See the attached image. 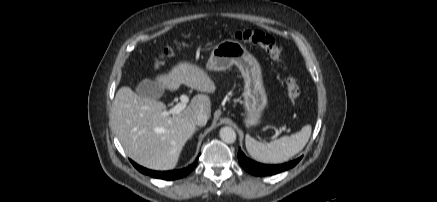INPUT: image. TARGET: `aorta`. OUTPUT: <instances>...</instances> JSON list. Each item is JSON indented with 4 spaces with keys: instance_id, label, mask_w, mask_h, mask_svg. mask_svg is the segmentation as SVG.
Listing matches in <instances>:
<instances>
[{
    "instance_id": "aorta-1",
    "label": "aorta",
    "mask_w": 437,
    "mask_h": 202,
    "mask_svg": "<svg viewBox=\"0 0 437 202\" xmlns=\"http://www.w3.org/2000/svg\"><path fill=\"white\" fill-rule=\"evenodd\" d=\"M222 141L228 144H232L236 141V132L231 127H222L219 132Z\"/></svg>"
}]
</instances>
